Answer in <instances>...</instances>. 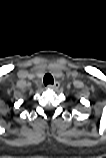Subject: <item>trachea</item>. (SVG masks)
I'll use <instances>...</instances> for the list:
<instances>
[{
  "label": "trachea",
  "mask_w": 106,
  "mask_h": 158,
  "mask_svg": "<svg viewBox=\"0 0 106 158\" xmlns=\"http://www.w3.org/2000/svg\"><path fill=\"white\" fill-rule=\"evenodd\" d=\"M43 82H44V84L47 86V85H49V84H53V83H54V79H53V77H52L51 74L47 73V74L44 76Z\"/></svg>",
  "instance_id": "3493384b"
}]
</instances>
